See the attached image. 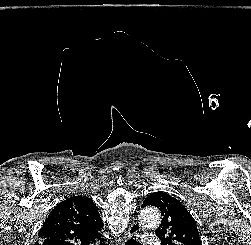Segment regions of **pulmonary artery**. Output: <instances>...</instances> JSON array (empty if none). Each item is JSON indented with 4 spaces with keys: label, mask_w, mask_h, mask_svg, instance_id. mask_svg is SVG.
Listing matches in <instances>:
<instances>
[{
    "label": "pulmonary artery",
    "mask_w": 251,
    "mask_h": 245,
    "mask_svg": "<svg viewBox=\"0 0 251 245\" xmlns=\"http://www.w3.org/2000/svg\"><path fill=\"white\" fill-rule=\"evenodd\" d=\"M145 245H160L156 237L145 236L143 239Z\"/></svg>",
    "instance_id": "e3ab8cb5"
}]
</instances>
